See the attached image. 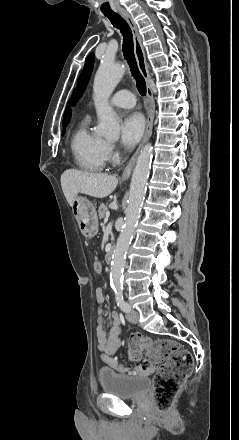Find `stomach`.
<instances>
[{
    "label": "stomach",
    "mask_w": 239,
    "mask_h": 440,
    "mask_svg": "<svg viewBox=\"0 0 239 440\" xmlns=\"http://www.w3.org/2000/svg\"><path fill=\"white\" fill-rule=\"evenodd\" d=\"M72 210L84 238H94L98 234V218L92 202L84 196H76Z\"/></svg>",
    "instance_id": "obj_1"
}]
</instances>
